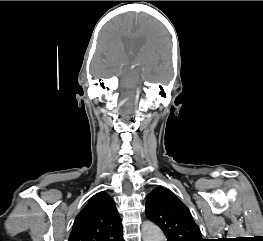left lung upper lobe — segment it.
<instances>
[{"label":"left lung upper lobe","mask_w":263,"mask_h":241,"mask_svg":"<svg viewBox=\"0 0 263 241\" xmlns=\"http://www.w3.org/2000/svg\"><path fill=\"white\" fill-rule=\"evenodd\" d=\"M145 212L162 229L167 241H204L189 209L166 188L157 187L148 194Z\"/></svg>","instance_id":"1"}]
</instances>
